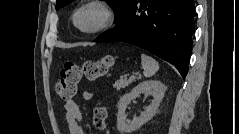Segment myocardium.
<instances>
[{"label": "myocardium", "instance_id": "obj_1", "mask_svg": "<svg viewBox=\"0 0 239 134\" xmlns=\"http://www.w3.org/2000/svg\"><path fill=\"white\" fill-rule=\"evenodd\" d=\"M87 9H96L101 14L99 23L92 28H83L78 22L79 15ZM114 21V12L108 4L102 1H88L78 7L73 15L74 26L84 34H96L107 29Z\"/></svg>", "mask_w": 239, "mask_h": 134}]
</instances>
